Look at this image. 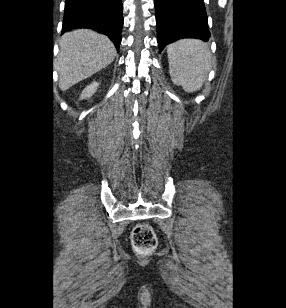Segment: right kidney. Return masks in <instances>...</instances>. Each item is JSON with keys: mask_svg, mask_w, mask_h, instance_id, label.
Segmentation results:
<instances>
[{"mask_svg": "<svg viewBox=\"0 0 286 308\" xmlns=\"http://www.w3.org/2000/svg\"><path fill=\"white\" fill-rule=\"evenodd\" d=\"M99 87L98 82H93L90 85H88L83 91L80 96V99H88L93 96V94L97 91Z\"/></svg>", "mask_w": 286, "mask_h": 308, "instance_id": "ca27d5eb", "label": "right kidney"}]
</instances>
